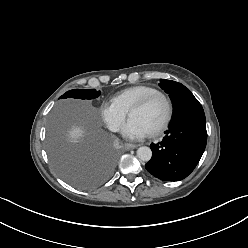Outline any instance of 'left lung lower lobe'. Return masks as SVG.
Masks as SVG:
<instances>
[{
	"label": "left lung lower lobe",
	"mask_w": 248,
	"mask_h": 248,
	"mask_svg": "<svg viewBox=\"0 0 248 248\" xmlns=\"http://www.w3.org/2000/svg\"><path fill=\"white\" fill-rule=\"evenodd\" d=\"M162 142L150 145L152 158L145 168L163 181L186 178L198 164L207 142L203 108L194 96L174 110Z\"/></svg>",
	"instance_id": "obj_1"
}]
</instances>
